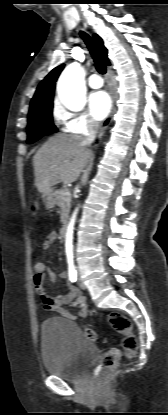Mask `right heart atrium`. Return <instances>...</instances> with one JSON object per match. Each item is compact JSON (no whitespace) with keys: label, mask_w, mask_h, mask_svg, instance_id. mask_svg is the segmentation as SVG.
<instances>
[{"label":"right heart atrium","mask_w":168,"mask_h":415,"mask_svg":"<svg viewBox=\"0 0 168 415\" xmlns=\"http://www.w3.org/2000/svg\"><path fill=\"white\" fill-rule=\"evenodd\" d=\"M54 117L62 131L67 133L89 135L98 128L97 122L86 111H70L60 104L55 105Z\"/></svg>","instance_id":"d8ad5b80"}]
</instances>
